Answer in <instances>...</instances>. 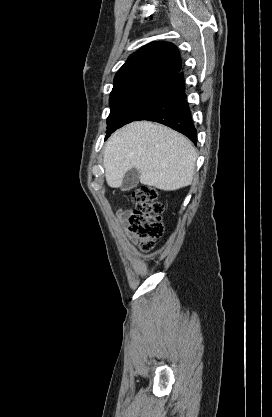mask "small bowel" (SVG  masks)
<instances>
[{
    "label": "small bowel",
    "instance_id": "obj_1",
    "mask_svg": "<svg viewBox=\"0 0 272 417\" xmlns=\"http://www.w3.org/2000/svg\"><path fill=\"white\" fill-rule=\"evenodd\" d=\"M117 216H118V219L120 220V222L124 226L128 225V220H129V216H130V212L128 210L119 209L117 211ZM129 237L132 238L131 235H129Z\"/></svg>",
    "mask_w": 272,
    "mask_h": 417
}]
</instances>
